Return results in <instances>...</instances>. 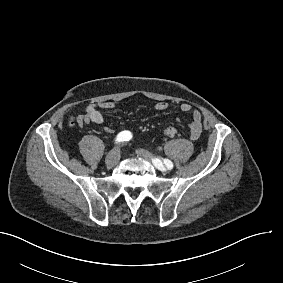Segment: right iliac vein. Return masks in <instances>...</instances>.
Returning <instances> with one entry per match:
<instances>
[{"instance_id":"1","label":"right iliac vein","mask_w":283,"mask_h":283,"mask_svg":"<svg viewBox=\"0 0 283 283\" xmlns=\"http://www.w3.org/2000/svg\"><path fill=\"white\" fill-rule=\"evenodd\" d=\"M120 159V151L117 149H114L108 153L105 159V165L107 168H112L116 164H118Z\"/></svg>"}]
</instances>
